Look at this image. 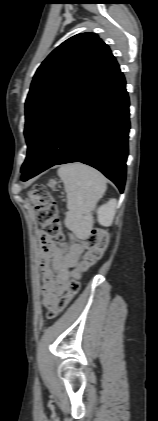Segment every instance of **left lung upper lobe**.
Here are the masks:
<instances>
[{
	"instance_id": "obj_1",
	"label": "left lung upper lobe",
	"mask_w": 158,
	"mask_h": 421,
	"mask_svg": "<svg viewBox=\"0 0 158 421\" xmlns=\"http://www.w3.org/2000/svg\"><path fill=\"white\" fill-rule=\"evenodd\" d=\"M113 57L96 34L86 32L63 42L39 66L25 103L28 150L22 173L33 162L58 115Z\"/></svg>"
}]
</instances>
